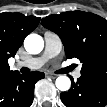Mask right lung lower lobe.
<instances>
[{"label": "right lung lower lobe", "instance_id": "obj_1", "mask_svg": "<svg viewBox=\"0 0 107 107\" xmlns=\"http://www.w3.org/2000/svg\"><path fill=\"white\" fill-rule=\"evenodd\" d=\"M44 78L42 72L26 75L10 71L0 75V107H30L35 83Z\"/></svg>", "mask_w": 107, "mask_h": 107}]
</instances>
